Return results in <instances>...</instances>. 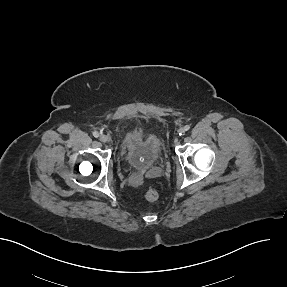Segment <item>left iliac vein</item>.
Returning a JSON list of instances; mask_svg holds the SVG:
<instances>
[{
  "label": "left iliac vein",
  "instance_id": "left-iliac-vein-1",
  "mask_svg": "<svg viewBox=\"0 0 287 287\" xmlns=\"http://www.w3.org/2000/svg\"><path fill=\"white\" fill-rule=\"evenodd\" d=\"M179 132H180V133H184V132H185L184 128H180V129H179Z\"/></svg>",
  "mask_w": 287,
  "mask_h": 287
}]
</instances>
